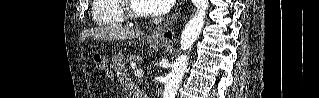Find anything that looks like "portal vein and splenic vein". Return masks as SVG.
<instances>
[{"instance_id":"1","label":"portal vein and splenic vein","mask_w":319,"mask_h":98,"mask_svg":"<svg viewBox=\"0 0 319 98\" xmlns=\"http://www.w3.org/2000/svg\"><path fill=\"white\" fill-rule=\"evenodd\" d=\"M135 76L137 77H143L144 76V72L141 69H136L134 71Z\"/></svg>"}]
</instances>
